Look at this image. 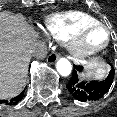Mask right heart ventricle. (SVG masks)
<instances>
[{
  "mask_svg": "<svg viewBox=\"0 0 117 117\" xmlns=\"http://www.w3.org/2000/svg\"><path fill=\"white\" fill-rule=\"evenodd\" d=\"M95 22L99 21L88 13L68 11L47 17L44 27L52 38L59 41H68L82 27Z\"/></svg>",
  "mask_w": 117,
  "mask_h": 117,
  "instance_id": "right-heart-ventricle-1",
  "label": "right heart ventricle"
}]
</instances>
